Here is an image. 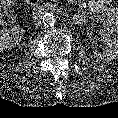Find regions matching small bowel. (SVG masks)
Instances as JSON below:
<instances>
[{
    "instance_id": "small-bowel-1",
    "label": "small bowel",
    "mask_w": 118,
    "mask_h": 118,
    "mask_svg": "<svg viewBox=\"0 0 118 118\" xmlns=\"http://www.w3.org/2000/svg\"><path fill=\"white\" fill-rule=\"evenodd\" d=\"M91 9L95 11L103 10L112 21V27L118 33V7L107 4V0H92Z\"/></svg>"
}]
</instances>
